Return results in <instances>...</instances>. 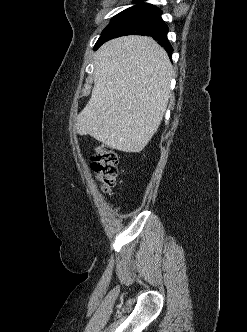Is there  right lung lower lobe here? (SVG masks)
<instances>
[{
    "mask_svg": "<svg viewBox=\"0 0 247 332\" xmlns=\"http://www.w3.org/2000/svg\"><path fill=\"white\" fill-rule=\"evenodd\" d=\"M161 14L162 11L151 4L139 7L107 28L94 46V50L106 41L120 36L147 35L157 40L171 57L173 48L167 39L168 27Z\"/></svg>",
    "mask_w": 247,
    "mask_h": 332,
    "instance_id": "right-lung-lower-lobe-1",
    "label": "right lung lower lobe"
}]
</instances>
